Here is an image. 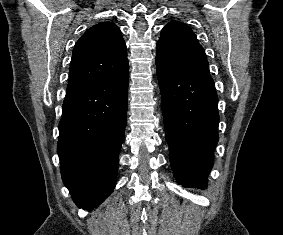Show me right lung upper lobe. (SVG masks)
<instances>
[{
    "instance_id": "right-lung-upper-lobe-1",
    "label": "right lung upper lobe",
    "mask_w": 283,
    "mask_h": 235,
    "mask_svg": "<svg viewBox=\"0 0 283 235\" xmlns=\"http://www.w3.org/2000/svg\"><path fill=\"white\" fill-rule=\"evenodd\" d=\"M128 69L121 31L114 23L101 22L75 44L67 91L116 78Z\"/></svg>"
}]
</instances>
